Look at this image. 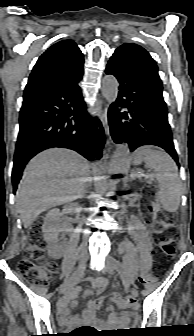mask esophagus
I'll return each mask as SVG.
<instances>
[{
  "label": "esophagus",
  "instance_id": "1",
  "mask_svg": "<svg viewBox=\"0 0 194 336\" xmlns=\"http://www.w3.org/2000/svg\"><path fill=\"white\" fill-rule=\"evenodd\" d=\"M107 111H108V107H106L105 110H104L103 122H104L106 133L109 136L110 135V131H109V125H108V119H107Z\"/></svg>",
  "mask_w": 194,
  "mask_h": 336
}]
</instances>
